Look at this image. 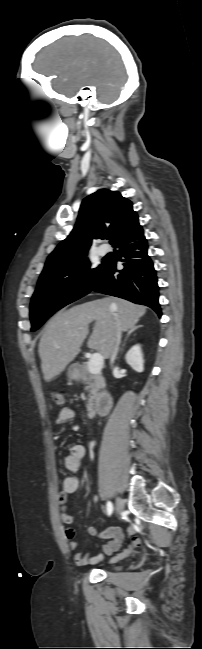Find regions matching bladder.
<instances>
[{
  "label": "bladder",
  "mask_w": 202,
  "mask_h": 649,
  "mask_svg": "<svg viewBox=\"0 0 202 649\" xmlns=\"http://www.w3.org/2000/svg\"><path fill=\"white\" fill-rule=\"evenodd\" d=\"M118 568H119V567L117 566V567H114L113 569H118Z\"/></svg>",
  "instance_id": "31cf9c89"
}]
</instances>
